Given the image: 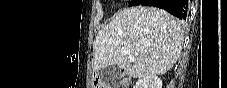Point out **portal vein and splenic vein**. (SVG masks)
I'll return each instance as SVG.
<instances>
[{
    "mask_svg": "<svg viewBox=\"0 0 227 88\" xmlns=\"http://www.w3.org/2000/svg\"><path fill=\"white\" fill-rule=\"evenodd\" d=\"M123 53L124 54H126V55H128L129 56V58L132 60V61H134L135 59H134V57L131 55V53H130V50L129 49H123Z\"/></svg>",
    "mask_w": 227,
    "mask_h": 88,
    "instance_id": "1",
    "label": "portal vein and splenic vein"
}]
</instances>
